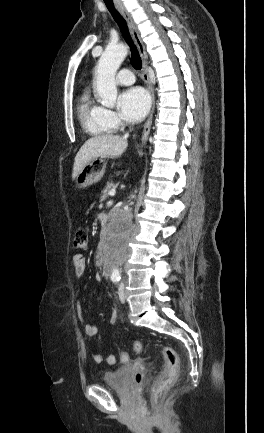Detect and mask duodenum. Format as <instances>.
Returning a JSON list of instances; mask_svg holds the SVG:
<instances>
[{
  "label": "duodenum",
  "instance_id": "duodenum-1",
  "mask_svg": "<svg viewBox=\"0 0 264 433\" xmlns=\"http://www.w3.org/2000/svg\"><path fill=\"white\" fill-rule=\"evenodd\" d=\"M100 219L102 220V222H103L104 224H107V222H108V217H107V215H101V216H100ZM103 256H105V257L109 256V247H103V248L98 252V259L101 260V258H102ZM105 273H106L107 275H109V274L111 273V268H110L109 264H107V265L105 266Z\"/></svg>",
  "mask_w": 264,
  "mask_h": 433
}]
</instances>
